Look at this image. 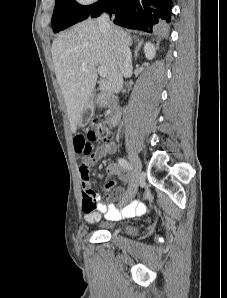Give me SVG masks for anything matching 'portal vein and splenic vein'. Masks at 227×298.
Wrapping results in <instances>:
<instances>
[{"label":"portal vein and splenic vein","mask_w":227,"mask_h":298,"mask_svg":"<svg viewBox=\"0 0 227 298\" xmlns=\"http://www.w3.org/2000/svg\"><path fill=\"white\" fill-rule=\"evenodd\" d=\"M97 71L101 77H107V70L105 67L99 66Z\"/></svg>","instance_id":"obj_1"}]
</instances>
